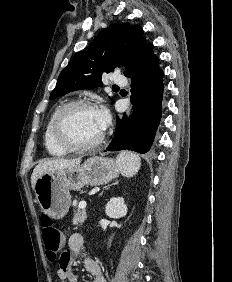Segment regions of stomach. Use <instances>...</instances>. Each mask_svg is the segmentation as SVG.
I'll use <instances>...</instances> for the list:
<instances>
[{
    "label": "stomach",
    "instance_id": "obj_1",
    "mask_svg": "<svg viewBox=\"0 0 232 282\" xmlns=\"http://www.w3.org/2000/svg\"><path fill=\"white\" fill-rule=\"evenodd\" d=\"M116 162L111 158L93 156L73 168L42 174L35 183L36 199L42 211L53 219L64 217L71 205L69 191H77L85 185H103L119 174Z\"/></svg>",
    "mask_w": 232,
    "mask_h": 282
}]
</instances>
